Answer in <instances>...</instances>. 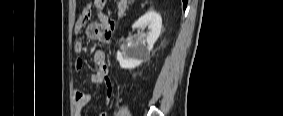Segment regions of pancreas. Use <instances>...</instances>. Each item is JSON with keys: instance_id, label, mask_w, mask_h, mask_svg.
Returning a JSON list of instances; mask_svg holds the SVG:
<instances>
[{"instance_id": "pancreas-1", "label": "pancreas", "mask_w": 283, "mask_h": 116, "mask_svg": "<svg viewBox=\"0 0 283 116\" xmlns=\"http://www.w3.org/2000/svg\"><path fill=\"white\" fill-rule=\"evenodd\" d=\"M125 10H126V6L124 5V3H119L118 4V16L123 17Z\"/></svg>"}]
</instances>
